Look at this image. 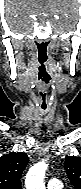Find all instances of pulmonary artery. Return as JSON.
Segmentation results:
<instances>
[{
  "label": "pulmonary artery",
  "mask_w": 81,
  "mask_h": 189,
  "mask_svg": "<svg viewBox=\"0 0 81 189\" xmlns=\"http://www.w3.org/2000/svg\"><path fill=\"white\" fill-rule=\"evenodd\" d=\"M48 189H62L63 185L57 178H51L47 182Z\"/></svg>",
  "instance_id": "1"
}]
</instances>
